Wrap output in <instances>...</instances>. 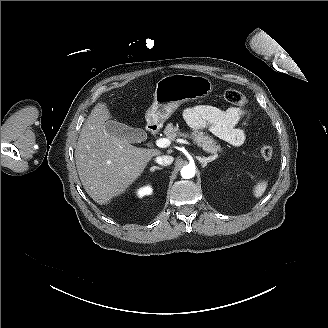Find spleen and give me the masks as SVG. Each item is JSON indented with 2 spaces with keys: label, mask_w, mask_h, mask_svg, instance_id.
Masks as SVG:
<instances>
[{
  "label": "spleen",
  "mask_w": 328,
  "mask_h": 328,
  "mask_svg": "<svg viewBox=\"0 0 328 328\" xmlns=\"http://www.w3.org/2000/svg\"><path fill=\"white\" fill-rule=\"evenodd\" d=\"M268 187V180H260L258 181L252 188V196L255 199H259L266 191Z\"/></svg>",
  "instance_id": "1"
}]
</instances>
